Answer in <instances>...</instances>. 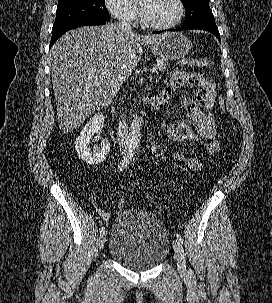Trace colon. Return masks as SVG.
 <instances>
[{"mask_svg": "<svg viewBox=\"0 0 272 303\" xmlns=\"http://www.w3.org/2000/svg\"><path fill=\"white\" fill-rule=\"evenodd\" d=\"M210 64V61L207 58H195V57H185L177 61V65L180 68H189V67H197V68H203L207 67ZM219 109L221 111H225V105H224V97L220 96L218 100ZM118 206L119 208H123L124 201L122 198L118 200Z\"/></svg>", "mask_w": 272, "mask_h": 303, "instance_id": "obj_1", "label": "colon"}]
</instances>
